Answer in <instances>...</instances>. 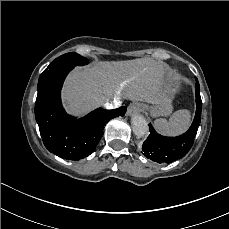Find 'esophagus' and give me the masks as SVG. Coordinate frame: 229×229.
<instances>
[{"label": "esophagus", "instance_id": "obj_1", "mask_svg": "<svg viewBox=\"0 0 229 229\" xmlns=\"http://www.w3.org/2000/svg\"><path fill=\"white\" fill-rule=\"evenodd\" d=\"M139 109V104L137 102H133L127 108V115L133 116L136 112L139 111Z\"/></svg>", "mask_w": 229, "mask_h": 229}]
</instances>
